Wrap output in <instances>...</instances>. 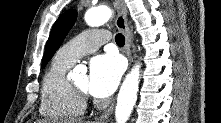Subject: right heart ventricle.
<instances>
[{"instance_id":"right-heart-ventricle-1","label":"right heart ventricle","mask_w":221,"mask_h":123,"mask_svg":"<svg viewBox=\"0 0 221 123\" xmlns=\"http://www.w3.org/2000/svg\"><path fill=\"white\" fill-rule=\"evenodd\" d=\"M72 63L55 56L45 71L41 86L40 114L51 119L83 115L86 104L71 89L66 73Z\"/></svg>"}]
</instances>
